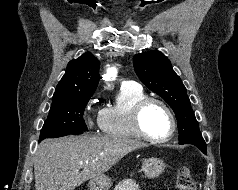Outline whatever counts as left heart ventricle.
Instances as JSON below:
<instances>
[{"instance_id":"1","label":"left heart ventricle","mask_w":238,"mask_h":190,"mask_svg":"<svg viewBox=\"0 0 238 190\" xmlns=\"http://www.w3.org/2000/svg\"><path fill=\"white\" fill-rule=\"evenodd\" d=\"M144 130L153 137H163L171 127L170 119L166 111L157 104L148 106L142 115Z\"/></svg>"}]
</instances>
